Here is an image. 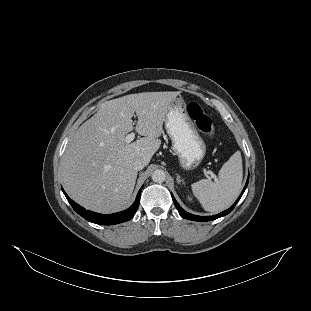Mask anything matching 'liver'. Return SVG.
Returning a JSON list of instances; mask_svg holds the SVG:
<instances>
[{
  "instance_id": "6515ba94",
  "label": "liver",
  "mask_w": 311,
  "mask_h": 311,
  "mask_svg": "<svg viewBox=\"0 0 311 311\" xmlns=\"http://www.w3.org/2000/svg\"><path fill=\"white\" fill-rule=\"evenodd\" d=\"M179 95L180 91L141 92L101 103L78 128L63 156L61 175L68 195L98 213L125 209L138 175L133 161L141 158L149 164L161 146L168 106ZM133 129L143 137L128 144L125 137Z\"/></svg>"
}]
</instances>
